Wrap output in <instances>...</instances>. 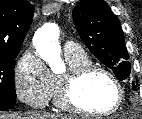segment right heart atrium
<instances>
[{
  "mask_svg": "<svg viewBox=\"0 0 142 119\" xmlns=\"http://www.w3.org/2000/svg\"><path fill=\"white\" fill-rule=\"evenodd\" d=\"M15 92L18 98L32 107L48 104L53 78L42 59L32 50L20 57L14 74Z\"/></svg>",
  "mask_w": 142,
  "mask_h": 119,
  "instance_id": "obj_1",
  "label": "right heart atrium"
}]
</instances>
